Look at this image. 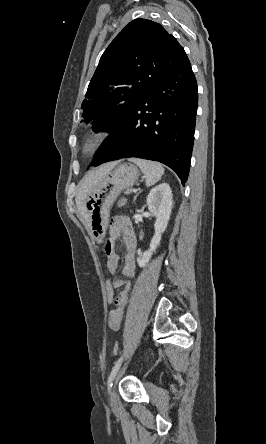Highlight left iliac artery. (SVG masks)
<instances>
[{
    "instance_id": "obj_1",
    "label": "left iliac artery",
    "mask_w": 266,
    "mask_h": 444,
    "mask_svg": "<svg viewBox=\"0 0 266 444\" xmlns=\"http://www.w3.org/2000/svg\"><path fill=\"white\" fill-rule=\"evenodd\" d=\"M122 360H123V357H120L118 359V361L116 362V364L114 365V367H113V369L111 371V374L108 377V382H107L108 392H110V389H111V387L113 385L112 382H113V380H114V378H115V376H116V374H117V372H118V370H119V368L121 366Z\"/></svg>"
}]
</instances>
